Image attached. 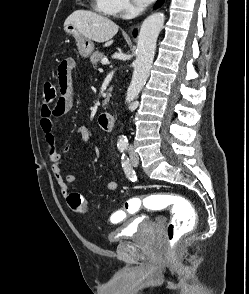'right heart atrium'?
Instances as JSON below:
<instances>
[{"mask_svg":"<svg viewBox=\"0 0 249 294\" xmlns=\"http://www.w3.org/2000/svg\"><path fill=\"white\" fill-rule=\"evenodd\" d=\"M116 15L125 16L131 11L133 5L130 0H114Z\"/></svg>","mask_w":249,"mask_h":294,"instance_id":"d8ad5b80","label":"right heart atrium"}]
</instances>
